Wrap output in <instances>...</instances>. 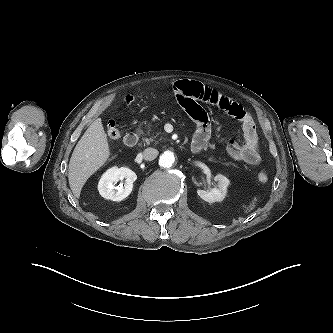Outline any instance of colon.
I'll list each match as a JSON object with an SVG mask.
<instances>
[{"label":"colon","instance_id":"5ec220e1","mask_svg":"<svg viewBox=\"0 0 333 333\" xmlns=\"http://www.w3.org/2000/svg\"><path fill=\"white\" fill-rule=\"evenodd\" d=\"M133 101H134V97H133V96H128V97L126 98V102H127L128 104H131ZM106 131H107V135H108L111 139H118V138L120 137V131H119V129H118V127H117V124H116V122H115L114 120H110V121L108 122ZM257 178H258V181H259L260 183H266V182H268V176H267V174L264 173V172H260V173L258 174V177H257Z\"/></svg>","mask_w":333,"mask_h":333}]
</instances>
